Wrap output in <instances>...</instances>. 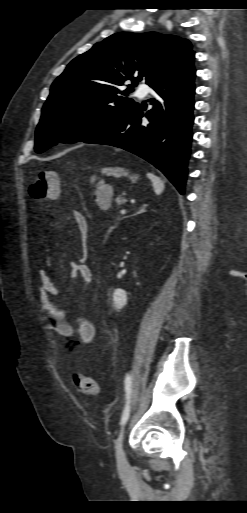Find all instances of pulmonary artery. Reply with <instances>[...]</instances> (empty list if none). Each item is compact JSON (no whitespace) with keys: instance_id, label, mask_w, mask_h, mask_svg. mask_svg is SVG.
Segmentation results:
<instances>
[{"instance_id":"obj_1","label":"pulmonary artery","mask_w":247,"mask_h":513,"mask_svg":"<svg viewBox=\"0 0 247 513\" xmlns=\"http://www.w3.org/2000/svg\"><path fill=\"white\" fill-rule=\"evenodd\" d=\"M149 90H150V88L147 85L141 84V85H139L136 93L138 96L144 97L149 93Z\"/></svg>"}]
</instances>
